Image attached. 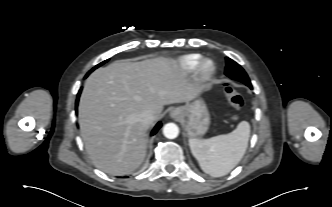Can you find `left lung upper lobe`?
I'll use <instances>...</instances> for the list:
<instances>
[{
    "label": "left lung upper lobe",
    "mask_w": 332,
    "mask_h": 207,
    "mask_svg": "<svg viewBox=\"0 0 332 207\" xmlns=\"http://www.w3.org/2000/svg\"><path fill=\"white\" fill-rule=\"evenodd\" d=\"M225 74L233 80H237L244 83L247 86H251L250 79L246 74V72L244 71V69L239 64H237L235 61H233L228 57H226Z\"/></svg>",
    "instance_id": "left-lung-upper-lobe-1"
}]
</instances>
